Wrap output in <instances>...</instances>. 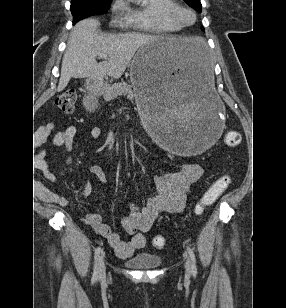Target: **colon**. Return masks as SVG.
Masks as SVG:
<instances>
[{
	"label": "colon",
	"mask_w": 286,
	"mask_h": 308,
	"mask_svg": "<svg viewBox=\"0 0 286 308\" xmlns=\"http://www.w3.org/2000/svg\"><path fill=\"white\" fill-rule=\"evenodd\" d=\"M77 100V92L74 88H68L55 98V106L62 112L70 113L74 110ZM224 142L229 147H237L241 143V135L238 131L230 130L224 134ZM232 182L231 172H226L218 176L207 188L200 200L194 207V212L201 215L205 207L213 204L230 186ZM152 244L155 248H163L166 244L165 238L161 235L154 236Z\"/></svg>",
	"instance_id": "obj_1"
}]
</instances>
